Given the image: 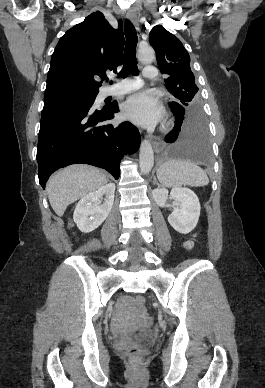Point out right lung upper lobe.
I'll return each instance as SVG.
<instances>
[{"mask_svg": "<svg viewBox=\"0 0 265 388\" xmlns=\"http://www.w3.org/2000/svg\"><path fill=\"white\" fill-rule=\"evenodd\" d=\"M124 41L122 23L114 29L99 11L69 29L52 54L44 99L98 94L96 78L106 70L116 72Z\"/></svg>", "mask_w": 265, "mask_h": 388, "instance_id": "cb5924a9", "label": "right lung upper lobe"}]
</instances>
